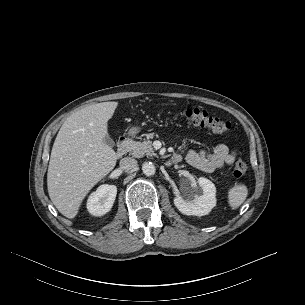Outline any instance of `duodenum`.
Here are the masks:
<instances>
[{
    "label": "duodenum",
    "mask_w": 305,
    "mask_h": 305,
    "mask_svg": "<svg viewBox=\"0 0 305 305\" xmlns=\"http://www.w3.org/2000/svg\"><path fill=\"white\" fill-rule=\"evenodd\" d=\"M130 146V139L128 137H122L117 145L116 148V156L117 157H122L123 155H125L129 149ZM178 159L177 158H172L171 159V163H177Z\"/></svg>",
    "instance_id": "410a0bca"
}]
</instances>
